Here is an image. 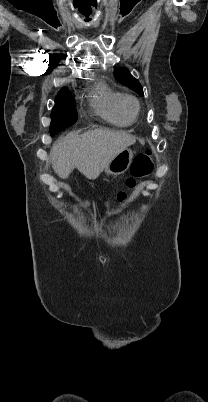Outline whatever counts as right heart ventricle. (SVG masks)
<instances>
[{"label":"right heart ventricle","mask_w":208,"mask_h":402,"mask_svg":"<svg viewBox=\"0 0 208 402\" xmlns=\"http://www.w3.org/2000/svg\"><path fill=\"white\" fill-rule=\"evenodd\" d=\"M121 95L104 82H100L92 91L90 102L92 109L101 119L115 127L127 128L136 120L127 116L120 108Z\"/></svg>","instance_id":"obj_1"}]
</instances>
